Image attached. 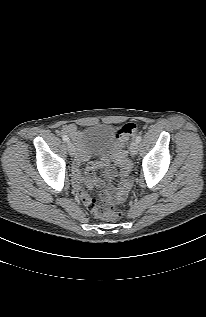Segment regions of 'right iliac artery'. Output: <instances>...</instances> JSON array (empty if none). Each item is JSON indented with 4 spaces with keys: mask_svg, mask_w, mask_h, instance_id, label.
Here are the masks:
<instances>
[{
    "mask_svg": "<svg viewBox=\"0 0 206 317\" xmlns=\"http://www.w3.org/2000/svg\"><path fill=\"white\" fill-rule=\"evenodd\" d=\"M62 139H63V141H65V142H69V138H68L66 135H63V136H62Z\"/></svg>",
    "mask_w": 206,
    "mask_h": 317,
    "instance_id": "right-iliac-artery-1",
    "label": "right iliac artery"
}]
</instances>
